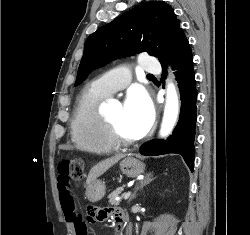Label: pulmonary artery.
Wrapping results in <instances>:
<instances>
[{"mask_svg":"<svg viewBox=\"0 0 250 235\" xmlns=\"http://www.w3.org/2000/svg\"><path fill=\"white\" fill-rule=\"evenodd\" d=\"M138 63L139 66L147 73L160 72L157 59L148 53L143 54ZM129 81V73L125 69H117L96 79L92 83V86L95 90L110 96L125 88Z\"/></svg>","mask_w":250,"mask_h":235,"instance_id":"1","label":"pulmonary artery"}]
</instances>
